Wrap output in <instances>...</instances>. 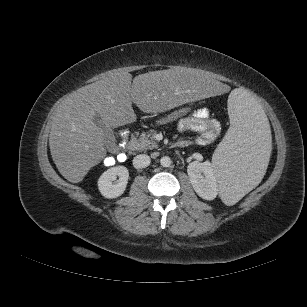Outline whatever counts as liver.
<instances>
[{"mask_svg":"<svg viewBox=\"0 0 307 307\" xmlns=\"http://www.w3.org/2000/svg\"><path fill=\"white\" fill-rule=\"evenodd\" d=\"M226 90L224 83L193 68L152 71L133 80L127 72H110L59 106L49 135L52 159L65 179L79 183L107 153L102 130L94 123L96 115L117 128L136 120L132 103L145 113H161Z\"/></svg>","mask_w":307,"mask_h":307,"instance_id":"liver-1","label":"liver"}]
</instances>
